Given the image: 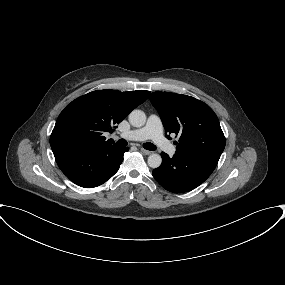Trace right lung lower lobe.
<instances>
[{
	"instance_id": "obj_1",
	"label": "right lung lower lobe",
	"mask_w": 285,
	"mask_h": 285,
	"mask_svg": "<svg viewBox=\"0 0 285 285\" xmlns=\"http://www.w3.org/2000/svg\"><path fill=\"white\" fill-rule=\"evenodd\" d=\"M128 147L87 149L80 146L53 149L61 171L76 185L97 187L110 179L119 169Z\"/></svg>"
}]
</instances>
